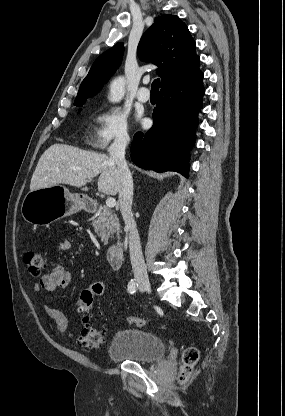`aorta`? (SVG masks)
<instances>
[{
    "label": "aorta",
    "instance_id": "obj_1",
    "mask_svg": "<svg viewBox=\"0 0 285 416\" xmlns=\"http://www.w3.org/2000/svg\"><path fill=\"white\" fill-rule=\"evenodd\" d=\"M125 94V79L124 77H117L110 84V100L112 102H119Z\"/></svg>",
    "mask_w": 285,
    "mask_h": 416
}]
</instances>
